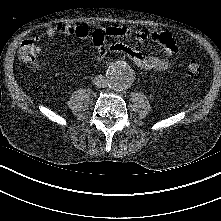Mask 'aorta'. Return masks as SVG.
<instances>
[{
    "instance_id": "aorta-1",
    "label": "aorta",
    "mask_w": 221,
    "mask_h": 221,
    "mask_svg": "<svg viewBox=\"0 0 221 221\" xmlns=\"http://www.w3.org/2000/svg\"><path fill=\"white\" fill-rule=\"evenodd\" d=\"M106 78L110 88L114 90H124L132 84L134 74L126 62L117 61L108 66Z\"/></svg>"
}]
</instances>
